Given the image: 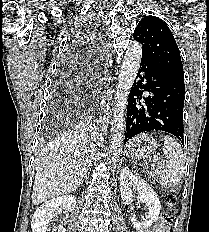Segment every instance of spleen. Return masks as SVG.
<instances>
[{
  "label": "spleen",
  "mask_w": 209,
  "mask_h": 232,
  "mask_svg": "<svg viewBox=\"0 0 209 232\" xmlns=\"http://www.w3.org/2000/svg\"><path fill=\"white\" fill-rule=\"evenodd\" d=\"M163 152L167 157L166 164L155 169L159 183L174 191L184 174L185 156L179 143L169 135L164 138ZM148 168V164H144Z\"/></svg>",
  "instance_id": "1"
}]
</instances>
